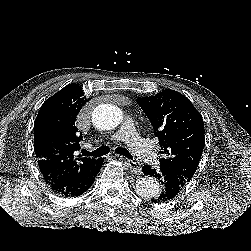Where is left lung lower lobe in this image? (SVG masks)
Returning a JSON list of instances; mask_svg holds the SVG:
<instances>
[{
    "label": "left lung lower lobe",
    "mask_w": 251,
    "mask_h": 251,
    "mask_svg": "<svg viewBox=\"0 0 251 251\" xmlns=\"http://www.w3.org/2000/svg\"><path fill=\"white\" fill-rule=\"evenodd\" d=\"M142 171L147 175L158 178L163 185L160 193L151 199L153 203H163L173 199L186 185L179 177L164 167L156 170L149 165H144Z\"/></svg>",
    "instance_id": "0a47b994"
}]
</instances>
